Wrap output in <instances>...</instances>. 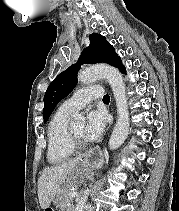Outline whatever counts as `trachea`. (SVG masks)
<instances>
[{
  "instance_id": "trachea-1",
  "label": "trachea",
  "mask_w": 179,
  "mask_h": 211,
  "mask_svg": "<svg viewBox=\"0 0 179 211\" xmlns=\"http://www.w3.org/2000/svg\"><path fill=\"white\" fill-rule=\"evenodd\" d=\"M110 100V97L108 96V95H105L104 97H103V101H109Z\"/></svg>"
}]
</instances>
